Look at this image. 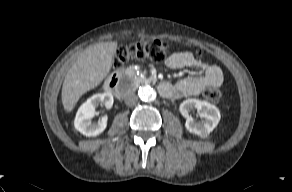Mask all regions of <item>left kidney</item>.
I'll list each match as a JSON object with an SVG mask.
<instances>
[{
    "instance_id": "left-kidney-1",
    "label": "left kidney",
    "mask_w": 292,
    "mask_h": 192,
    "mask_svg": "<svg viewBox=\"0 0 292 192\" xmlns=\"http://www.w3.org/2000/svg\"><path fill=\"white\" fill-rule=\"evenodd\" d=\"M197 109L200 116L204 118L201 123H196L189 112L191 109ZM179 110L181 114L186 118V129L199 136H206L210 134L218 125L221 115L219 109L211 103L198 100V99H186L180 104Z\"/></svg>"
}]
</instances>
